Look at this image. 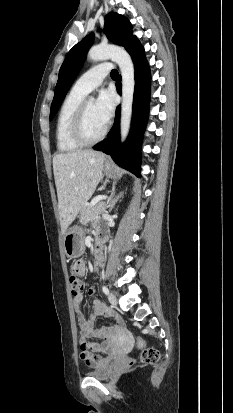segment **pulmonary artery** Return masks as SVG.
<instances>
[{"mask_svg": "<svg viewBox=\"0 0 233 413\" xmlns=\"http://www.w3.org/2000/svg\"><path fill=\"white\" fill-rule=\"evenodd\" d=\"M111 71V65L109 63H102L96 65L82 74L74 83L73 89L88 94L93 89L98 87Z\"/></svg>", "mask_w": 233, "mask_h": 413, "instance_id": "obj_1", "label": "pulmonary artery"}]
</instances>
